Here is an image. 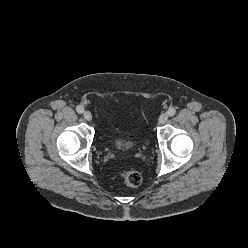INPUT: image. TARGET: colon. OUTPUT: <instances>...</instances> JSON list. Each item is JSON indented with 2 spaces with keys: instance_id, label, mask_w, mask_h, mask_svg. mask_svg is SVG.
I'll return each instance as SVG.
<instances>
[{
  "instance_id": "obj_1",
  "label": "colon",
  "mask_w": 248,
  "mask_h": 248,
  "mask_svg": "<svg viewBox=\"0 0 248 248\" xmlns=\"http://www.w3.org/2000/svg\"><path fill=\"white\" fill-rule=\"evenodd\" d=\"M120 177L121 180L130 187H137L142 183V176L137 171H124Z\"/></svg>"
}]
</instances>
